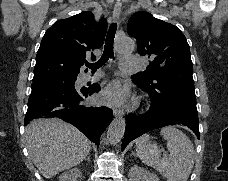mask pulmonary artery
Instances as JSON below:
<instances>
[{
	"label": "pulmonary artery",
	"instance_id": "1",
	"mask_svg": "<svg viewBox=\"0 0 228 181\" xmlns=\"http://www.w3.org/2000/svg\"><path fill=\"white\" fill-rule=\"evenodd\" d=\"M120 61V71H134L135 67H138V62H143V57H121Z\"/></svg>",
	"mask_w": 228,
	"mask_h": 181
}]
</instances>
